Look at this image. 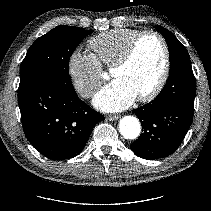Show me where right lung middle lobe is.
Instances as JSON below:
<instances>
[{
  "label": "right lung middle lobe",
  "mask_w": 211,
  "mask_h": 211,
  "mask_svg": "<svg viewBox=\"0 0 211 211\" xmlns=\"http://www.w3.org/2000/svg\"><path fill=\"white\" fill-rule=\"evenodd\" d=\"M91 33L79 27L61 25L38 38L21 63L20 84L43 75L71 83L68 69L70 56Z\"/></svg>",
  "instance_id": "1"
}]
</instances>
